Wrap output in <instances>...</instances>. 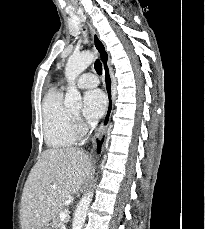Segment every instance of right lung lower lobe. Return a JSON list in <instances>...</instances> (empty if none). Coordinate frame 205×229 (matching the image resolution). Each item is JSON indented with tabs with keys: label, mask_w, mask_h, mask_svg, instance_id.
<instances>
[{
	"label": "right lung lower lobe",
	"mask_w": 205,
	"mask_h": 229,
	"mask_svg": "<svg viewBox=\"0 0 205 229\" xmlns=\"http://www.w3.org/2000/svg\"><path fill=\"white\" fill-rule=\"evenodd\" d=\"M102 142H103V139H102V141H98L97 140V143H98V146H97V151H98V153L100 152V150H101V145H102Z\"/></svg>",
	"instance_id": "obj_1"
}]
</instances>
